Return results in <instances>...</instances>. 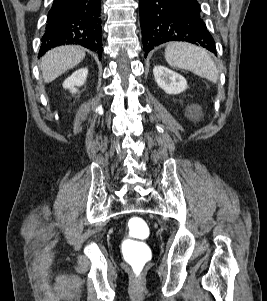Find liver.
Masks as SVG:
<instances>
[{"label": "liver", "instance_id": "liver-1", "mask_svg": "<svg viewBox=\"0 0 267 301\" xmlns=\"http://www.w3.org/2000/svg\"><path fill=\"white\" fill-rule=\"evenodd\" d=\"M85 51L74 45L60 46L48 51L41 59L40 69L45 83H50L61 74L78 65Z\"/></svg>", "mask_w": 267, "mask_h": 301}]
</instances>
